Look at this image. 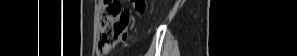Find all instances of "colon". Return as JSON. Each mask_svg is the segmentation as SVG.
I'll use <instances>...</instances> for the list:
<instances>
[{"label":"colon","mask_w":297,"mask_h":56,"mask_svg":"<svg viewBox=\"0 0 297 56\" xmlns=\"http://www.w3.org/2000/svg\"><path fill=\"white\" fill-rule=\"evenodd\" d=\"M137 13L145 9V0H132ZM130 21L129 11L123 8L119 2L105 0L99 22L98 49L102 54L110 53L120 42L121 33H126Z\"/></svg>","instance_id":"obj_1"}]
</instances>
